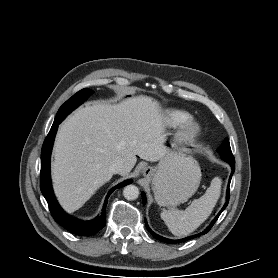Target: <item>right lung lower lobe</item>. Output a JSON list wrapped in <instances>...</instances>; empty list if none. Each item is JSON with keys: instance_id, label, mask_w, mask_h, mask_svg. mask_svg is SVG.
Instances as JSON below:
<instances>
[{"instance_id": "obj_1", "label": "right lung lower lobe", "mask_w": 278, "mask_h": 278, "mask_svg": "<svg viewBox=\"0 0 278 278\" xmlns=\"http://www.w3.org/2000/svg\"><path fill=\"white\" fill-rule=\"evenodd\" d=\"M62 119L54 120V123L50 129L49 134L47 135L41 152V178H40V189L42 194L44 195L48 205L50 212L54 218V220L63 226L68 231L81 235V236H90L97 233L105 226V217H106V205L108 202V197L111 193L119 187H124L131 183V180H126L119 185L115 186L110 192L108 193L101 215L96 217L91 221H82L76 219L72 216L66 214L62 208L57 203V200L54 196L52 187H51V180H50V156L51 150L55 138V134L58 128L59 123Z\"/></svg>"}]
</instances>
